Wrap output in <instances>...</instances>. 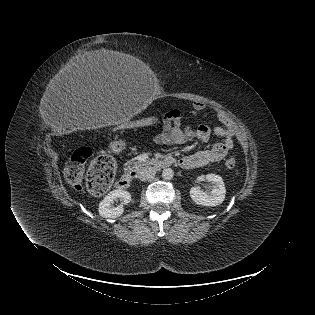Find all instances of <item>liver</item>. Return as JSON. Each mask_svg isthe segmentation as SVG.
<instances>
[{
  "mask_svg": "<svg viewBox=\"0 0 315 315\" xmlns=\"http://www.w3.org/2000/svg\"><path fill=\"white\" fill-rule=\"evenodd\" d=\"M135 63L136 59L129 54L100 49L89 52L81 60L68 67L63 72V77L71 81L116 80L127 75Z\"/></svg>",
  "mask_w": 315,
  "mask_h": 315,
  "instance_id": "obj_1",
  "label": "liver"
}]
</instances>
